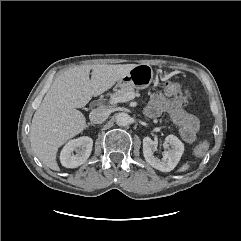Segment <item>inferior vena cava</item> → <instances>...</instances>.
<instances>
[{
  "label": "inferior vena cava",
  "mask_w": 241,
  "mask_h": 241,
  "mask_svg": "<svg viewBox=\"0 0 241 241\" xmlns=\"http://www.w3.org/2000/svg\"><path fill=\"white\" fill-rule=\"evenodd\" d=\"M109 116V112L103 108H97L90 112L89 119L93 124L104 122Z\"/></svg>",
  "instance_id": "602c4592"
}]
</instances>
